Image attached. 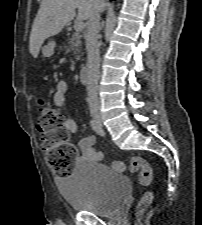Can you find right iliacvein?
<instances>
[{"mask_svg":"<svg viewBox=\"0 0 202 225\" xmlns=\"http://www.w3.org/2000/svg\"><path fill=\"white\" fill-rule=\"evenodd\" d=\"M92 117L93 119L97 122V123H101L102 122V118H101V114L99 111L97 110H92L91 111Z\"/></svg>","mask_w":202,"mask_h":225,"instance_id":"63e3f726","label":"right iliac vein"}]
</instances>
